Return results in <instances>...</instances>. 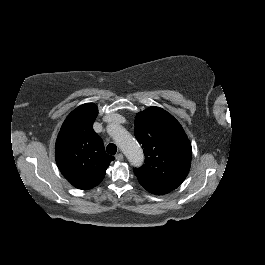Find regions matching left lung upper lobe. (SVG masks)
Wrapping results in <instances>:
<instances>
[{
    "mask_svg": "<svg viewBox=\"0 0 265 265\" xmlns=\"http://www.w3.org/2000/svg\"><path fill=\"white\" fill-rule=\"evenodd\" d=\"M134 134L145 164L134 173L144 188L176 189L190 170L192 147L180 123L167 111L149 107L137 114Z\"/></svg>",
    "mask_w": 265,
    "mask_h": 265,
    "instance_id": "1",
    "label": "left lung upper lobe"
}]
</instances>
